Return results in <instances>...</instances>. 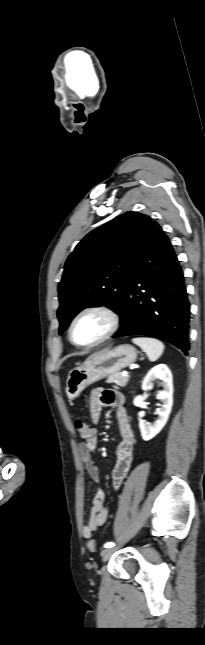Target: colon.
<instances>
[{
  "instance_id": "colon-1",
  "label": "colon",
  "mask_w": 205,
  "mask_h": 645,
  "mask_svg": "<svg viewBox=\"0 0 205 645\" xmlns=\"http://www.w3.org/2000/svg\"><path fill=\"white\" fill-rule=\"evenodd\" d=\"M74 427L76 431L80 434L82 438H87L90 434V428L87 423V421L81 417H76L74 419ZM87 547L90 551L96 552L97 551V545L94 539H90L87 542Z\"/></svg>"
}]
</instances>
